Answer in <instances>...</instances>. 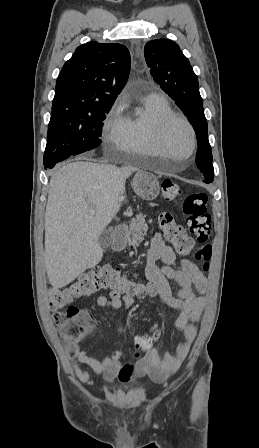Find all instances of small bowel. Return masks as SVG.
<instances>
[{
    "mask_svg": "<svg viewBox=\"0 0 259 448\" xmlns=\"http://www.w3.org/2000/svg\"><path fill=\"white\" fill-rule=\"evenodd\" d=\"M161 260L163 266L156 265ZM176 261L175 250L167 245L160 233H157L148 251L146 276L160 298L170 307L177 309L180 314L176 320V327L183 332L184 341L177 347L166 351L163 355L151 348L135 363H122L119 354L102 356L97 359L89 352L81 350L78 345H67L66 353L71 360L91 368L101 376L106 386L115 381L132 382L135 377L149 376L155 381H165L177 371L186 358L197 334L196 322L199 320L205 307L202 296L208 286L207 278L198 266L189 259H182L178 268L174 267ZM97 304L100 307L129 310L133 304L132 296L109 295L99 296ZM126 329L120 323L119 330ZM152 332L160 333L157 324L151 327ZM75 373L82 382L90 381L88 372L75 366Z\"/></svg>",
    "mask_w": 259,
    "mask_h": 448,
    "instance_id": "obj_1",
    "label": "small bowel"
}]
</instances>
